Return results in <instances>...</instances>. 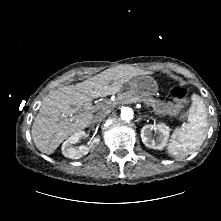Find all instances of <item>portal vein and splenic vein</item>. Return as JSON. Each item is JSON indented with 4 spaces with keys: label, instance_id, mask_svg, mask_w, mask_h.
<instances>
[{
    "label": "portal vein and splenic vein",
    "instance_id": "obj_1",
    "mask_svg": "<svg viewBox=\"0 0 221 221\" xmlns=\"http://www.w3.org/2000/svg\"><path fill=\"white\" fill-rule=\"evenodd\" d=\"M132 102H138V100H137V99H135V100H132Z\"/></svg>",
    "mask_w": 221,
    "mask_h": 221
}]
</instances>
